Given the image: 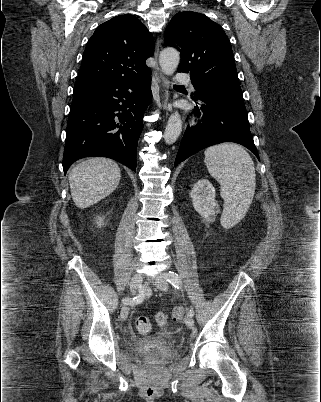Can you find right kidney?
<instances>
[{"instance_id": "right-kidney-1", "label": "right kidney", "mask_w": 321, "mask_h": 402, "mask_svg": "<svg viewBox=\"0 0 321 402\" xmlns=\"http://www.w3.org/2000/svg\"><path fill=\"white\" fill-rule=\"evenodd\" d=\"M97 225L102 226L103 225V219L101 217H97Z\"/></svg>"}]
</instances>
